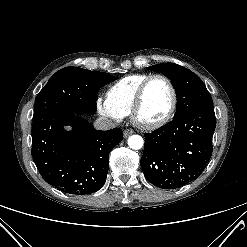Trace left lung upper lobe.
I'll use <instances>...</instances> for the list:
<instances>
[{
    "instance_id": "5c2ea615",
    "label": "left lung upper lobe",
    "mask_w": 247,
    "mask_h": 247,
    "mask_svg": "<svg viewBox=\"0 0 247 247\" xmlns=\"http://www.w3.org/2000/svg\"><path fill=\"white\" fill-rule=\"evenodd\" d=\"M149 69L171 79L177 93L175 117L198 108H213L212 98L201 79L189 69L174 63H161Z\"/></svg>"
}]
</instances>
